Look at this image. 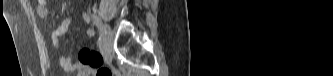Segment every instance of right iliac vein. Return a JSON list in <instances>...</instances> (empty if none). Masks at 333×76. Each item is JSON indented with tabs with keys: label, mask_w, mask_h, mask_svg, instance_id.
I'll return each instance as SVG.
<instances>
[{
	"label": "right iliac vein",
	"mask_w": 333,
	"mask_h": 76,
	"mask_svg": "<svg viewBox=\"0 0 333 76\" xmlns=\"http://www.w3.org/2000/svg\"><path fill=\"white\" fill-rule=\"evenodd\" d=\"M101 30L104 48L106 52H109L112 47L113 33L107 25H102Z\"/></svg>",
	"instance_id": "obj_1"
}]
</instances>
